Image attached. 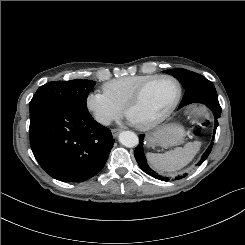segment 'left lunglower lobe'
<instances>
[{"mask_svg": "<svg viewBox=\"0 0 245 245\" xmlns=\"http://www.w3.org/2000/svg\"><path fill=\"white\" fill-rule=\"evenodd\" d=\"M199 103H204L206 104L212 111L215 117V125H214V132L213 134L215 135L216 133V129L218 127V118L221 115V107L219 105V101L218 100H205V101H200ZM214 140V138L212 139V141ZM213 146V142H211V144L209 145V147L207 148V150L205 151V153L202 155L201 160L198 162V165H201L203 161L206 160V158L208 157V155L211 152ZM144 134H141L139 136V145L135 148L134 151V156L135 159L139 165V167L148 175L153 176L156 179L162 180V181H168L169 178L168 177H164L159 175L158 173L154 172L151 168H149V166L147 165L146 162V157L144 154ZM186 174L181 175V176H177L175 179H181L183 177H185Z\"/></svg>", "mask_w": 245, "mask_h": 245, "instance_id": "1", "label": "left lung lower lobe"}]
</instances>
